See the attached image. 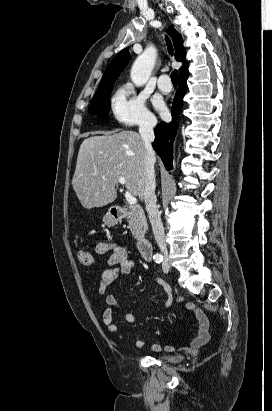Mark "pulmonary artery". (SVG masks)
<instances>
[{
    "label": "pulmonary artery",
    "mask_w": 272,
    "mask_h": 411,
    "mask_svg": "<svg viewBox=\"0 0 272 411\" xmlns=\"http://www.w3.org/2000/svg\"><path fill=\"white\" fill-rule=\"evenodd\" d=\"M158 88L163 93H168L171 91L172 86L170 84L168 75L163 74L158 78Z\"/></svg>",
    "instance_id": "e3ab8cb5"
}]
</instances>
